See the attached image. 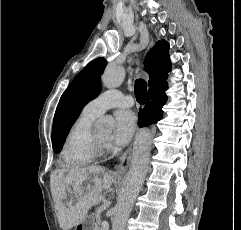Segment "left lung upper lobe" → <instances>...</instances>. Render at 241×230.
<instances>
[{
  "instance_id": "left-lung-upper-lobe-1",
  "label": "left lung upper lobe",
  "mask_w": 241,
  "mask_h": 230,
  "mask_svg": "<svg viewBox=\"0 0 241 230\" xmlns=\"http://www.w3.org/2000/svg\"><path fill=\"white\" fill-rule=\"evenodd\" d=\"M106 65L104 58L91 61L61 96L52 127V146L55 153L61 151L70 128L83 107L101 92L100 77Z\"/></svg>"
}]
</instances>
